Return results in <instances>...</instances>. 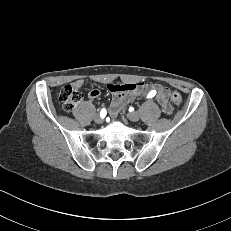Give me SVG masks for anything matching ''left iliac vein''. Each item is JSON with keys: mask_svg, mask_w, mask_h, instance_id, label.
<instances>
[{"mask_svg": "<svg viewBox=\"0 0 231 231\" xmlns=\"http://www.w3.org/2000/svg\"><path fill=\"white\" fill-rule=\"evenodd\" d=\"M128 119L137 122L140 119V114L138 112H131L127 115Z\"/></svg>", "mask_w": 231, "mask_h": 231, "instance_id": "1", "label": "left iliac vein"}]
</instances>
